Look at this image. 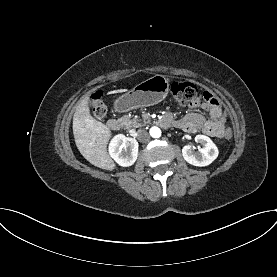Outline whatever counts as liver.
Wrapping results in <instances>:
<instances>
[{"label": "liver", "instance_id": "liver-1", "mask_svg": "<svg viewBox=\"0 0 277 277\" xmlns=\"http://www.w3.org/2000/svg\"><path fill=\"white\" fill-rule=\"evenodd\" d=\"M126 90L119 89L110 93H121ZM73 135L78 150L92 165L104 170L116 168V164L107 152V145L112 133L105 124L91 116L89 96L82 99L75 110Z\"/></svg>", "mask_w": 277, "mask_h": 277}]
</instances>
